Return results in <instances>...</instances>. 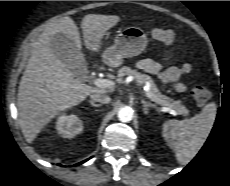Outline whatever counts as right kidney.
<instances>
[{"instance_id": "ca27d5eb", "label": "right kidney", "mask_w": 230, "mask_h": 186, "mask_svg": "<svg viewBox=\"0 0 230 186\" xmlns=\"http://www.w3.org/2000/svg\"><path fill=\"white\" fill-rule=\"evenodd\" d=\"M56 130L64 138H73L82 132L83 123L77 115H61L57 119Z\"/></svg>"}]
</instances>
